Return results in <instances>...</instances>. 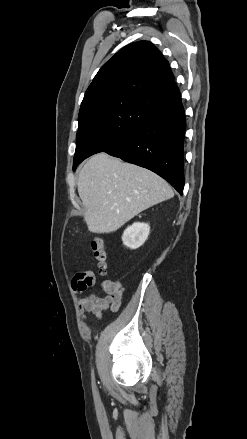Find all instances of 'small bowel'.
<instances>
[{
    "label": "small bowel",
    "mask_w": 247,
    "mask_h": 439,
    "mask_svg": "<svg viewBox=\"0 0 247 439\" xmlns=\"http://www.w3.org/2000/svg\"><path fill=\"white\" fill-rule=\"evenodd\" d=\"M94 284V274L82 272L74 276L71 286L75 295L78 296ZM101 290L104 294L102 297L89 294L77 298L78 309L83 320H86V313H91L98 322L105 312H116L119 309L124 292L123 285L118 281L104 280L101 283Z\"/></svg>",
    "instance_id": "obj_1"
}]
</instances>
